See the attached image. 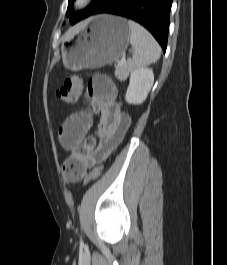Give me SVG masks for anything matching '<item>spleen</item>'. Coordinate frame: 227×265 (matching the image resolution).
<instances>
[{
    "mask_svg": "<svg viewBox=\"0 0 227 265\" xmlns=\"http://www.w3.org/2000/svg\"><path fill=\"white\" fill-rule=\"evenodd\" d=\"M130 43L134 49L132 64L135 67L148 66L156 62L161 55V48L154 37L141 25L129 20Z\"/></svg>",
    "mask_w": 227,
    "mask_h": 265,
    "instance_id": "1",
    "label": "spleen"
}]
</instances>
